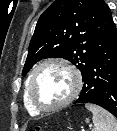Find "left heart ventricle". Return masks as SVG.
Segmentation results:
<instances>
[{
	"mask_svg": "<svg viewBox=\"0 0 117 131\" xmlns=\"http://www.w3.org/2000/svg\"><path fill=\"white\" fill-rule=\"evenodd\" d=\"M73 89V77L62 66H47L39 71L33 93L36 100L44 106H53L66 99Z\"/></svg>",
	"mask_w": 117,
	"mask_h": 131,
	"instance_id": "b2bd125f",
	"label": "left heart ventricle"
}]
</instances>
